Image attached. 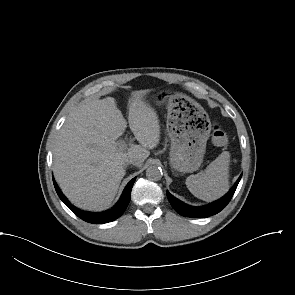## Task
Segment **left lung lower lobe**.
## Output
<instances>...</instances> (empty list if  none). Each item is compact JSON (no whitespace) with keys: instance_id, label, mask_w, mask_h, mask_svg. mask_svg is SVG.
<instances>
[{"instance_id":"obj_1","label":"left lung lower lobe","mask_w":295,"mask_h":295,"mask_svg":"<svg viewBox=\"0 0 295 295\" xmlns=\"http://www.w3.org/2000/svg\"><path fill=\"white\" fill-rule=\"evenodd\" d=\"M240 179L241 176L239 177L235 185L230 189V191L221 199L202 207H194L187 205L175 198L174 196H172L168 191L167 197L170 204L180 215L185 217L206 218L219 213L222 209L225 208V206L229 203L230 199L232 198Z\"/></svg>"}]
</instances>
